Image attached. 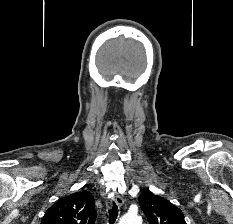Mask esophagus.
Listing matches in <instances>:
<instances>
[{
    "mask_svg": "<svg viewBox=\"0 0 233 224\" xmlns=\"http://www.w3.org/2000/svg\"><path fill=\"white\" fill-rule=\"evenodd\" d=\"M113 201L118 205V206H122L124 203V200L122 198V196L120 195H115L113 198Z\"/></svg>",
    "mask_w": 233,
    "mask_h": 224,
    "instance_id": "34e87169",
    "label": "esophagus"
}]
</instances>
